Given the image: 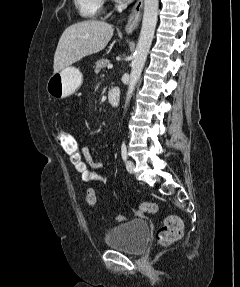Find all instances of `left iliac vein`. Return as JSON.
<instances>
[{"mask_svg": "<svg viewBox=\"0 0 240 287\" xmlns=\"http://www.w3.org/2000/svg\"><path fill=\"white\" fill-rule=\"evenodd\" d=\"M126 168H127V170H128L130 173H133V172H134V168H135V165H134L133 161L128 160V161L126 162Z\"/></svg>", "mask_w": 240, "mask_h": 287, "instance_id": "left-iliac-vein-1", "label": "left iliac vein"}]
</instances>
